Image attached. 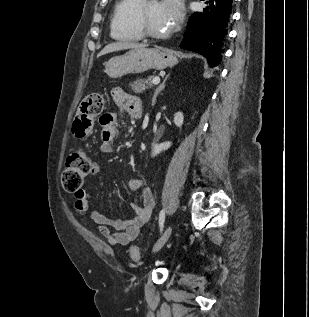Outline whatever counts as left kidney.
Returning a JSON list of instances; mask_svg holds the SVG:
<instances>
[{
    "label": "left kidney",
    "mask_w": 309,
    "mask_h": 317,
    "mask_svg": "<svg viewBox=\"0 0 309 317\" xmlns=\"http://www.w3.org/2000/svg\"><path fill=\"white\" fill-rule=\"evenodd\" d=\"M184 116L182 112H177L174 114V123L177 127H181L183 125ZM172 143L170 141H166L160 144L152 145V155L157 156L162 151H165L171 147Z\"/></svg>",
    "instance_id": "1"
}]
</instances>
